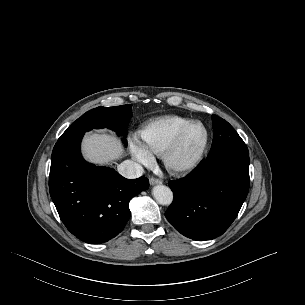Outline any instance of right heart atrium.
Wrapping results in <instances>:
<instances>
[{
  "label": "right heart atrium",
  "mask_w": 305,
  "mask_h": 305,
  "mask_svg": "<svg viewBox=\"0 0 305 305\" xmlns=\"http://www.w3.org/2000/svg\"><path fill=\"white\" fill-rule=\"evenodd\" d=\"M132 155L133 157L145 165H150L152 161L151 154L145 149V147L134 141L131 145Z\"/></svg>",
  "instance_id": "obj_1"
}]
</instances>
